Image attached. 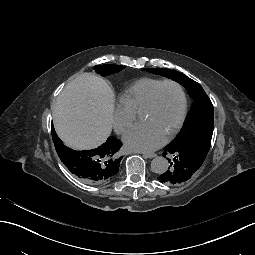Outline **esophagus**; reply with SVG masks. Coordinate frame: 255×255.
<instances>
[{
  "label": "esophagus",
  "mask_w": 255,
  "mask_h": 255,
  "mask_svg": "<svg viewBox=\"0 0 255 255\" xmlns=\"http://www.w3.org/2000/svg\"><path fill=\"white\" fill-rule=\"evenodd\" d=\"M134 153H142V152L135 151ZM143 155H144L145 157H147V158H153V157L156 156L155 153H144Z\"/></svg>",
  "instance_id": "obj_1"
}]
</instances>
